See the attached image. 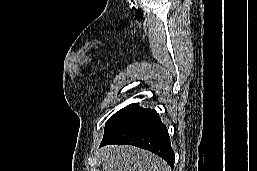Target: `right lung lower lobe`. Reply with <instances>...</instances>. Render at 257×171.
<instances>
[{
	"label": "right lung lower lobe",
	"instance_id": "right-lung-lower-lobe-1",
	"mask_svg": "<svg viewBox=\"0 0 257 171\" xmlns=\"http://www.w3.org/2000/svg\"><path fill=\"white\" fill-rule=\"evenodd\" d=\"M104 129L101 146L134 145L157 154L173 168L175 154L168 130L155 110L131 104L113 116Z\"/></svg>",
	"mask_w": 257,
	"mask_h": 171
}]
</instances>
